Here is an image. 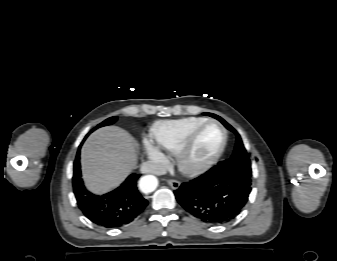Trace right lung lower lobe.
<instances>
[{
	"label": "right lung lower lobe",
	"mask_w": 337,
	"mask_h": 261,
	"mask_svg": "<svg viewBox=\"0 0 337 261\" xmlns=\"http://www.w3.org/2000/svg\"><path fill=\"white\" fill-rule=\"evenodd\" d=\"M79 160L80 151L74 162L73 190L79 208L93 223L105 228H119L132 222L147 206L148 201L137 189L139 174H131L110 193L94 195L84 187Z\"/></svg>",
	"instance_id": "obj_1"
}]
</instances>
